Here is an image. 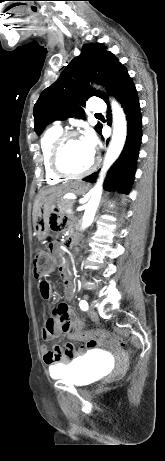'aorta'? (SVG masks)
I'll list each match as a JSON object with an SVG mask.
<instances>
[{
	"label": "aorta",
	"instance_id": "762f6f07",
	"mask_svg": "<svg viewBox=\"0 0 165 461\" xmlns=\"http://www.w3.org/2000/svg\"><path fill=\"white\" fill-rule=\"evenodd\" d=\"M112 114H113V135L109 144L108 150L105 155L102 170L100 172L99 179L95 187L91 190V198L85 205V212L82 219V227L86 228L93 222L96 210L99 206V202L102 194V185L105 174L110 166L120 155L126 140L127 135V123L125 114L120 105L115 101L111 100Z\"/></svg>",
	"mask_w": 165,
	"mask_h": 461
}]
</instances>
